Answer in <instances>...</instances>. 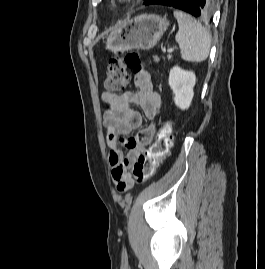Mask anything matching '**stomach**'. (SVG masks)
Masks as SVG:
<instances>
[{"instance_id": "0dacf381", "label": "stomach", "mask_w": 265, "mask_h": 269, "mask_svg": "<svg viewBox=\"0 0 265 269\" xmlns=\"http://www.w3.org/2000/svg\"><path fill=\"white\" fill-rule=\"evenodd\" d=\"M166 17L142 14L115 28L107 37L106 49L112 52L153 48L166 31Z\"/></svg>"}]
</instances>
